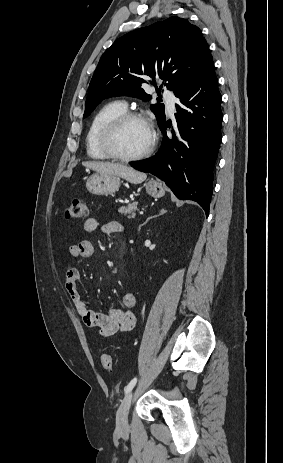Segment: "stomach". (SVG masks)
I'll list each match as a JSON object with an SVG mask.
<instances>
[{"mask_svg":"<svg viewBox=\"0 0 283 463\" xmlns=\"http://www.w3.org/2000/svg\"><path fill=\"white\" fill-rule=\"evenodd\" d=\"M120 183L118 176L96 173L88 178L86 188L93 194L109 195L118 191ZM145 187L146 192L154 198H160L165 194V189L160 181L151 179L145 184Z\"/></svg>","mask_w":283,"mask_h":463,"instance_id":"1","label":"stomach"}]
</instances>
